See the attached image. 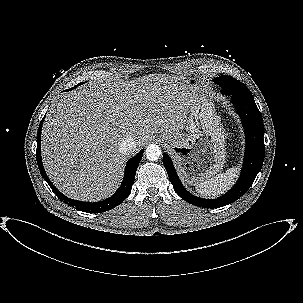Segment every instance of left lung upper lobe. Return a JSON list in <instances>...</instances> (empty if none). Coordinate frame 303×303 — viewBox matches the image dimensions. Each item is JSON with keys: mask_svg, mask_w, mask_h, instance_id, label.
<instances>
[{"mask_svg": "<svg viewBox=\"0 0 303 303\" xmlns=\"http://www.w3.org/2000/svg\"><path fill=\"white\" fill-rule=\"evenodd\" d=\"M214 82L217 85H219L222 88V90L224 89L223 87H225L226 85L235 86L236 89H239V92H241L242 95L252 96L251 92L249 91V89L246 87L245 84L241 83L240 81L236 80L235 78H233L231 76L221 75V76L215 78Z\"/></svg>", "mask_w": 303, "mask_h": 303, "instance_id": "obj_1", "label": "left lung upper lobe"}]
</instances>
